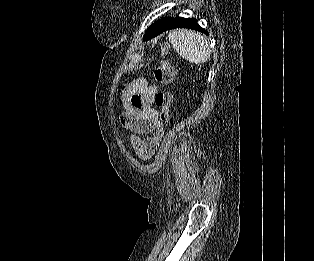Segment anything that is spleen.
<instances>
[{
    "label": "spleen",
    "instance_id": "3e777b00",
    "mask_svg": "<svg viewBox=\"0 0 314 261\" xmlns=\"http://www.w3.org/2000/svg\"><path fill=\"white\" fill-rule=\"evenodd\" d=\"M168 37L174 50L186 61L200 65L210 58L209 43L201 34L179 30L170 32Z\"/></svg>",
    "mask_w": 314,
    "mask_h": 261
}]
</instances>
